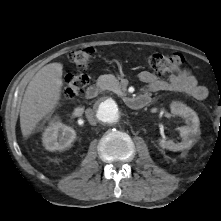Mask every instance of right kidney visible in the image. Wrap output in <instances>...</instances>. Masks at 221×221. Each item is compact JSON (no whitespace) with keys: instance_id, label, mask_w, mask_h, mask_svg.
Returning <instances> with one entry per match:
<instances>
[{"instance_id":"obj_1","label":"right kidney","mask_w":221,"mask_h":221,"mask_svg":"<svg viewBox=\"0 0 221 221\" xmlns=\"http://www.w3.org/2000/svg\"><path fill=\"white\" fill-rule=\"evenodd\" d=\"M76 138V132L69 126L57 121L55 117L45 129L42 142L49 151L62 150L70 146Z\"/></svg>"}]
</instances>
